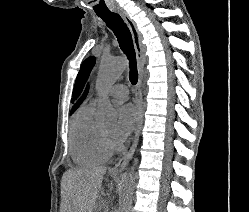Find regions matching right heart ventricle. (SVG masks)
Wrapping results in <instances>:
<instances>
[{
	"mask_svg": "<svg viewBox=\"0 0 249 212\" xmlns=\"http://www.w3.org/2000/svg\"><path fill=\"white\" fill-rule=\"evenodd\" d=\"M94 103L81 105L70 125L69 152L78 165L101 164L107 159L100 140L98 125L93 119Z\"/></svg>",
	"mask_w": 249,
	"mask_h": 212,
	"instance_id": "1",
	"label": "right heart ventricle"
}]
</instances>
